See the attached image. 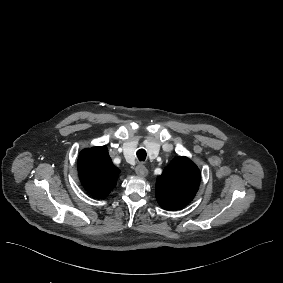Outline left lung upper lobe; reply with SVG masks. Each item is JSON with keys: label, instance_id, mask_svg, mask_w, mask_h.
Here are the masks:
<instances>
[{"label": "left lung upper lobe", "instance_id": "1", "mask_svg": "<svg viewBox=\"0 0 283 283\" xmlns=\"http://www.w3.org/2000/svg\"><path fill=\"white\" fill-rule=\"evenodd\" d=\"M200 171L187 157L174 158L157 178L155 195L159 205L174 210L188 204L200 184Z\"/></svg>", "mask_w": 283, "mask_h": 283}]
</instances>
